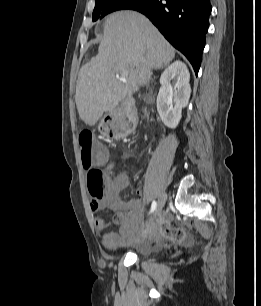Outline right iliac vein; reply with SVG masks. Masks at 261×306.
Here are the masks:
<instances>
[{"mask_svg": "<svg viewBox=\"0 0 261 306\" xmlns=\"http://www.w3.org/2000/svg\"><path fill=\"white\" fill-rule=\"evenodd\" d=\"M165 201H166V194H165V193H162V194L159 196V198H158L157 206H156V209H155V212H154V216H153V218L151 219V221H152L156 216H158V215L161 213V211H162V209H163V207H164V205H165Z\"/></svg>", "mask_w": 261, "mask_h": 306, "instance_id": "63e3f726", "label": "right iliac vein"}]
</instances>
